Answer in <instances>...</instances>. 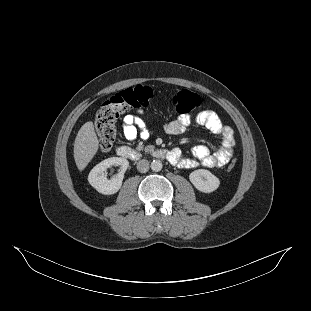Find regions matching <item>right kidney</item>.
I'll return each instance as SVG.
<instances>
[{
	"label": "right kidney",
	"mask_w": 311,
	"mask_h": 311,
	"mask_svg": "<svg viewBox=\"0 0 311 311\" xmlns=\"http://www.w3.org/2000/svg\"><path fill=\"white\" fill-rule=\"evenodd\" d=\"M121 166V171L110 180L107 179L105 171L110 166ZM129 167L125 158L111 157L97 164L89 173L88 181L99 193L110 195L116 193L122 186L124 173Z\"/></svg>",
	"instance_id": "1"
}]
</instances>
